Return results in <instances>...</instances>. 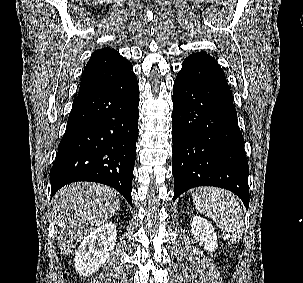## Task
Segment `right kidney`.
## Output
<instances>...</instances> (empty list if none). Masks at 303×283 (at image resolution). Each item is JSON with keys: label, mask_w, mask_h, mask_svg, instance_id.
<instances>
[{"label": "right kidney", "mask_w": 303, "mask_h": 283, "mask_svg": "<svg viewBox=\"0 0 303 283\" xmlns=\"http://www.w3.org/2000/svg\"><path fill=\"white\" fill-rule=\"evenodd\" d=\"M117 230L113 223L95 229L79 245L75 253V268L79 275L88 276L97 271L109 257L116 242Z\"/></svg>", "instance_id": "ca27d5eb"}]
</instances>
